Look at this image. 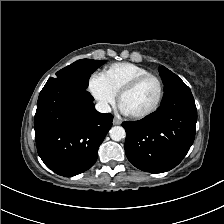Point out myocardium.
I'll return each instance as SVG.
<instances>
[{"label":"myocardium","instance_id":"myocardium-1","mask_svg":"<svg viewBox=\"0 0 224 224\" xmlns=\"http://www.w3.org/2000/svg\"><path fill=\"white\" fill-rule=\"evenodd\" d=\"M146 79H154L157 82L158 88H159L158 97H157L155 103L153 104V106L150 107L148 110L143 111L141 113L128 114L133 119L146 118V117L152 115L153 113H155L159 109V107L162 103L163 97H164L163 81L161 80V78L159 76H157L155 74L148 73V74L140 75V76L133 78L129 82H127L117 93V100L120 105V101H121L122 97L125 94H127L128 92L132 91L135 87H137L142 81H144Z\"/></svg>","mask_w":224,"mask_h":224}]
</instances>
